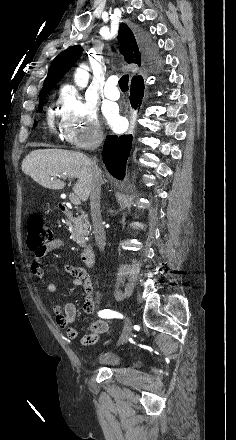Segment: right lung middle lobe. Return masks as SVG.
I'll list each match as a JSON object with an SVG mask.
<instances>
[{
  "label": "right lung middle lobe",
  "instance_id": "obj_1",
  "mask_svg": "<svg viewBox=\"0 0 236 440\" xmlns=\"http://www.w3.org/2000/svg\"><path fill=\"white\" fill-rule=\"evenodd\" d=\"M46 95L42 96L39 98V106H38V111H41L43 108V100L45 99ZM37 122H34V127L36 126Z\"/></svg>",
  "mask_w": 236,
  "mask_h": 440
}]
</instances>
